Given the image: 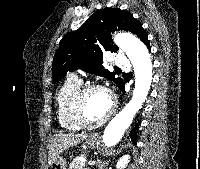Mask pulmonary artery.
I'll use <instances>...</instances> for the list:
<instances>
[{"mask_svg":"<svg viewBox=\"0 0 200 169\" xmlns=\"http://www.w3.org/2000/svg\"><path fill=\"white\" fill-rule=\"evenodd\" d=\"M114 64L120 67H124L128 65V61L122 54L116 53L114 56ZM72 78H75V76H72Z\"/></svg>","mask_w":200,"mask_h":169,"instance_id":"pulmonary-artery-1","label":"pulmonary artery"}]
</instances>
